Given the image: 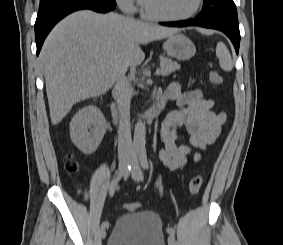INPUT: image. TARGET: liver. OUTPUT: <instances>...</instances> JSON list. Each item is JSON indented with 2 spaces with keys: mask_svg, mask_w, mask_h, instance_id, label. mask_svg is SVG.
Wrapping results in <instances>:
<instances>
[{
  "mask_svg": "<svg viewBox=\"0 0 283 245\" xmlns=\"http://www.w3.org/2000/svg\"><path fill=\"white\" fill-rule=\"evenodd\" d=\"M177 32L115 13L68 15L50 32L39 55L52 124H59L75 103L106 93L128 67L141 64V44Z\"/></svg>",
  "mask_w": 283,
  "mask_h": 245,
  "instance_id": "1",
  "label": "liver"
}]
</instances>
